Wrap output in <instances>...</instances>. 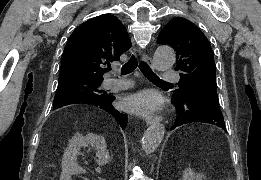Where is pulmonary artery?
<instances>
[{"instance_id": "e3ab8cb5", "label": "pulmonary artery", "mask_w": 261, "mask_h": 180, "mask_svg": "<svg viewBox=\"0 0 261 180\" xmlns=\"http://www.w3.org/2000/svg\"><path fill=\"white\" fill-rule=\"evenodd\" d=\"M162 77H181V72H162ZM162 83H179V78H162ZM128 82L117 78H107L103 81V86L112 89L119 90L125 88Z\"/></svg>"}]
</instances>
